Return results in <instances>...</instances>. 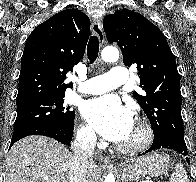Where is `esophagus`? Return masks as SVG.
Here are the masks:
<instances>
[{"label":"esophagus","instance_id":"esophagus-1","mask_svg":"<svg viewBox=\"0 0 196 182\" xmlns=\"http://www.w3.org/2000/svg\"><path fill=\"white\" fill-rule=\"evenodd\" d=\"M92 34L97 36L100 43L104 42V31L100 19H94L91 25ZM99 163L106 166H111V160L108 156L100 155Z\"/></svg>","mask_w":196,"mask_h":182}]
</instances>
